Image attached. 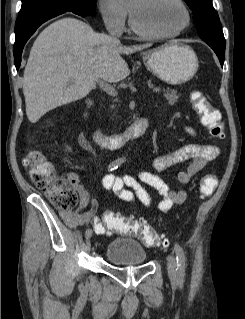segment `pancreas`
Returning a JSON list of instances; mask_svg holds the SVG:
<instances>
[{
  "mask_svg": "<svg viewBox=\"0 0 245 319\" xmlns=\"http://www.w3.org/2000/svg\"><path fill=\"white\" fill-rule=\"evenodd\" d=\"M163 96L170 102V103H175L177 102L179 95L177 94V91L174 89H164L163 90Z\"/></svg>",
  "mask_w": 245,
  "mask_h": 319,
  "instance_id": "pancreas-1",
  "label": "pancreas"
}]
</instances>
